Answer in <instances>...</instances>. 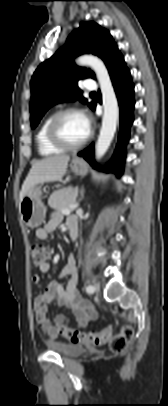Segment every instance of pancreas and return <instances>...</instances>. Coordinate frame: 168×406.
I'll list each match as a JSON object with an SVG mask.
<instances>
[{
  "label": "pancreas",
  "mask_w": 168,
  "mask_h": 406,
  "mask_svg": "<svg viewBox=\"0 0 168 406\" xmlns=\"http://www.w3.org/2000/svg\"><path fill=\"white\" fill-rule=\"evenodd\" d=\"M77 194L71 187L55 191L48 199L51 208L62 211L76 203Z\"/></svg>",
  "instance_id": "obj_1"
}]
</instances>
